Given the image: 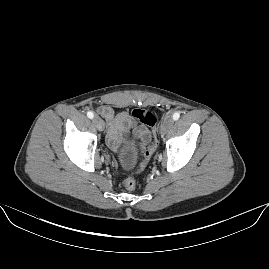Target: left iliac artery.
<instances>
[{
	"label": "left iliac artery",
	"mask_w": 269,
	"mask_h": 269,
	"mask_svg": "<svg viewBox=\"0 0 269 269\" xmlns=\"http://www.w3.org/2000/svg\"><path fill=\"white\" fill-rule=\"evenodd\" d=\"M179 117H180V114L178 112H176V113L173 114V119L174 120H178Z\"/></svg>",
	"instance_id": "44dca946"
}]
</instances>
